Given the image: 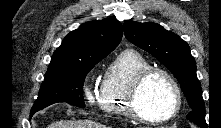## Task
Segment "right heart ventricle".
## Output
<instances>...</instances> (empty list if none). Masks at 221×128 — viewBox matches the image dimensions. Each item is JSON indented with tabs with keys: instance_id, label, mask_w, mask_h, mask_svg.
Returning <instances> with one entry per match:
<instances>
[{
	"instance_id": "right-heart-ventricle-1",
	"label": "right heart ventricle",
	"mask_w": 221,
	"mask_h": 128,
	"mask_svg": "<svg viewBox=\"0 0 221 128\" xmlns=\"http://www.w3.org/2000/svg\"><path fill=\"white\" fill-rule=\"evenodd\" d=\"M150 66V62L134 49L120 52L106 69L98 96L100 109L117 117H129L127 101L131 84Z\"/></svg>"
}]
</instances>
